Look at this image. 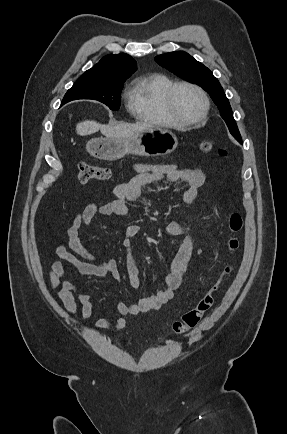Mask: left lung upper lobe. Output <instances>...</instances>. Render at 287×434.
Instances as JSON below:
<instances>
[{
  "mask_svg": "<svg viewBox=\"0 0 287 434\" xmlns=\"http://www.w3.org/2000/svg\"><path fill=\"white\" fill-rule=\"evenodd\" d=\"M155 61L178 77L195 83L208 92L220 110L230 133L241 142V136L234 120L230 103L217 78L202 63L184 51H175L155 57Z\"/></svg>",
  "mask_w": 287,
  "mask_h": 434,
  "instance_id": "1",
  "label": "left lung upper lobe"
}]
</instances>
